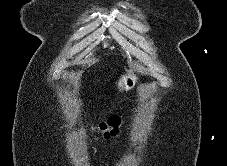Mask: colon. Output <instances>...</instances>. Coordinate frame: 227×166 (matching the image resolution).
I'll return each mask as SVG.
<instances>
[{
	"label": "colon",
	"mask_w": 227,
	"mask_h": 166,
	"mask_svg": "<svg viewBox=\"0 0 227 166\" xmlns=\"http://www.w3.org/2000/svg\"><path fill=\"white\" fill-rule=\"evenodd\" d=\"M120 124V117L117 115H113L110 116L106 121L99 123L95 127L94 132L99 136L110 138L118 133Z\"/></svg>",
	"instance_id": "5ec220e1"
}]
</instances>
